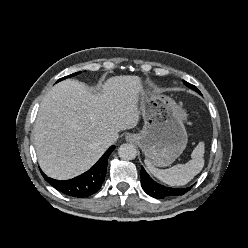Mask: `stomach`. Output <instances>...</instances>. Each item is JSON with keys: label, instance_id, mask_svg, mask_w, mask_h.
Masks as SVG:
<instances>
[{"label": "stomach", "instance_id": "0dacf381", "mask_svg": "<svg viewBox=\"0 0 248 248\" xmlns=\"http://www.w3.org/2000/svg\"><path fill=\"white\" fill-rule=\"evenodd\" d=\"M140 85L139 110L144 127L134 135V141L153 166H169L182 154L188 142L183 110L172 98L152 91L142 79Z\"/></svg>", "mask_w": 248, "mask_h": 248}]
</instances>
